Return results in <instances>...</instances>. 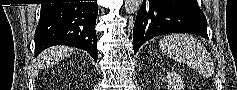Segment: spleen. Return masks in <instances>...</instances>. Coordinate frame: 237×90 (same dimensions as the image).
Wrapping results in <instances>:
<instances>
[{"instance_id": "obj_1", "label": "spleen", "mask_w": 237, "mask_h": 90, "mask_svg": "<svg viewBox=\"0 0 237 90\" xmlns=\"http://www.w3.org/2000/svg\"><path fill=\"white\" fill-rule=\"evenodd\" d=\"M159 48L175 62L189 64L195 70H203L209 62V54L197 38L189 34H171L159 42Z\"/></svg>"}]
</instances>
